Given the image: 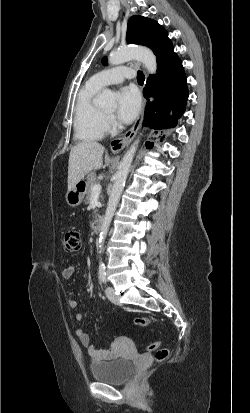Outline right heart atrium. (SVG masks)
I'll return each instance as SVG.
<instances>
[{"label": "right heart atrium", "mask_w": 250, "mask_h": 413, "mask_svg": "<svg viewBox=\"0 0 250 413\" xmlns=\"http://www.w3.org/2000/svg\"><path fill=\"white\" fill-rule=\"evenodd\" d=\"M118 128V122L114 115L106 114L105 116V130L106 132H113Z\"/></svg>", "instance_id": "obj_1"}]
</instances>
